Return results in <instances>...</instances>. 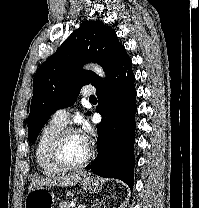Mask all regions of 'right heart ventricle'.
Returning <instances> with one entry per match:
<instances>
[{
    "label": "right heart ventricle",
    "mask_w": 199,
    "mask_h": 208,
    "mask_svg": "<svg viewBox=\"0 0 199 208\" xmlns=\"http://www.w3.org/2000/svg\"><path fill=\"white\" fill-rule=\"evenodd\" d=\"M65 128V125L51 120L42 130L38 137L35 159L40 171L45 175H56L61 172L55 167L49 157V148L55 136Z\"/></svg>",
    "instance_id": "e07e8e85"
}]
</instances>
